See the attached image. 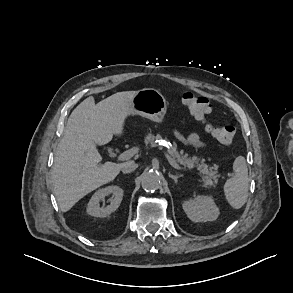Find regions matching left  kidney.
<instances>
[{
	"label": "left kidney",
	"mask_w": 293,
	"mask_h": 293,
	"mask_svg": "<svg viewBox=\"0 0 293 293\" xmlns=\"http://www.w3.org/2000/svg\"><path fill=\"white\" fill-rule=\"evenodd\" d=\"M182 207L193 222L214 221L219 216V208L212 196H196L184 201Z\"/></svg>",
	"instance_id": "left-kidney-1"
}]
</instances>
